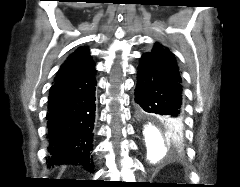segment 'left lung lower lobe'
Wrapping results in <instances>:
<instances>
[{
  "label": "left lung lower lobe",
  "instance_id": "left-lung-lower-lobe-1",
  "mask_svg": "<svg viewBox=\"0 0 240 187\" xmlns=\"http://www.w3.org/2000/svg\"><path fill=\"white\" fill-rule=\"evenodd\" d=\"M137 78L135 104L138 117L163 120L170 135L176 138V133L183 131L181 82L171 78L148 55L140 59Z\"/></svg>",
  "mask_w": 240,
  "mask_h": 187
}]
</instances>
